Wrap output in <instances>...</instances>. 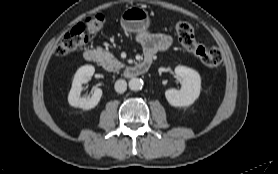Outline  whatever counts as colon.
<instances>
[{"mask_svg": "<svg viewBox=\"0 0 278 174\" xmlns=\"http://www.w3.org/2000/svg\"><path fill=\"white\" fill-rule=\"evenodd\" d=\"M104 25V17L95 15L86 18L76 24L58 42L55 53L58 56H66L86 46L92 35L97 33ZM176 33L181 46L189 53L197 57L207 67H217L222 62V53L219 48H207L198 43L194 36L193 27L187 22H179L176 25Z\"/></svg>", "mask_w": 278, "mask_h": 174, "instance_id": "obj_1", "label": "colon"}]
</instances>
